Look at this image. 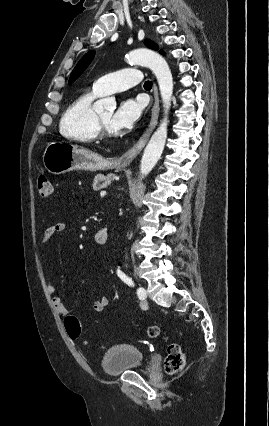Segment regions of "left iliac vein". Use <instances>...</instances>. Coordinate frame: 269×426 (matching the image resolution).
I'll list each match as a JSON object with an SVG mask.
<instances>
[{"label":"left iliac vein","mask_w":269,"mask_h":426,"mask_svg":"<svg viewBox=\"0 0 269 426\" xmlns=\"http://www.w3.org/2000/svg\"><path fill=\"white\" fill-rule=\"evenodd\" d=\"M141 308H142V309H147V308H148V302H147L146 300H143V301L141 302Z\"/></svg>","instance_id":"obj_1"}]
</instances>
